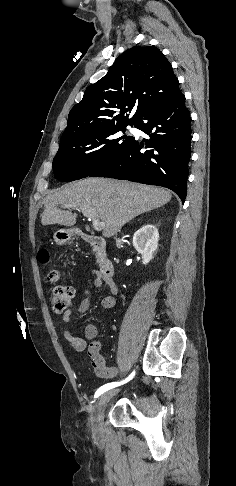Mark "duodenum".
I'll return each mask as SVG.
<instances>
[{"mask_svg":"<svg viewBox=\"0 0 236 486\" xmlns=\"http://www.w3.org/2000/svg\"><path fill=\"white\" fill-rule=\"evenodd\" d=\"M79 236L94 251L101 275L106 279H110L114 273V265L107 256L105 240L83 232H79Z\"/></svg>","mask_w":236,"mask_h":486,"instance_id":"duodenum-1","label":"duodenum"}]
</instances>
